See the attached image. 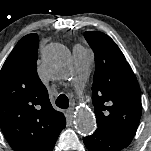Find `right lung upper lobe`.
<instances>
[{
	"instance_id": "cb5924a9",
	"label": "right lung upper lobe",
	"mask_w": 151,
	"mask_h": 151,
	"mask_svg": "<svg viewBox=\"0 0 151 151\" xmlns=\"http://www.w3.org/2000/svg\"><path fill=\"white\" fill-rule=\"evenodd\" d=\"M39 39L23 37L0 71V127L14 151H52L66 125L37 74Z\"/></svg>"
}]
</instances>
